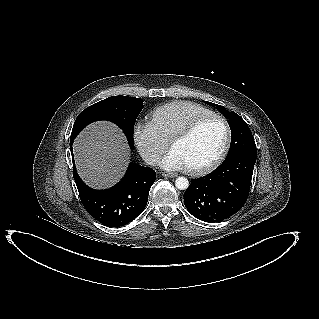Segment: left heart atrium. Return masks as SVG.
<instances>
[{"label":"left heart atrium","instance_id":"1","mask_svg":"<svg viewBox=\"0 0 319 319\" xmlns=\"http://www.w3.org/2000/svg\"><path fill=\"white\" fill-rule=\"evenodd\" d=\"M160 165L168 170H178L185 168L184 162L176 152L170 150L160 161Z\"/></svg>","mask_w":319,"mask_h":319}]
</instances>
